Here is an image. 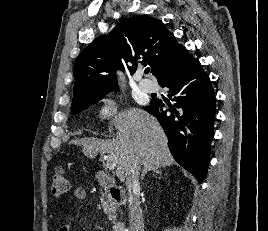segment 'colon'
Wrapping results in <instances>:
<instances>
[{"label":"colon","mask_w":268,"mask_h":231,"mask_svg":"<svg viewBox=\"0 0 268 231\" xmlns=\"http://www.w3.org/2000/svg\"><path fill=\"white\" fill-rule=\"evenodd\" d=\"M69 193V182L67 177L62 172L61 169H58L53 175L51 182V194L56 198H63Z\"/></svg>","instance_id":"1"}]
</instances>
